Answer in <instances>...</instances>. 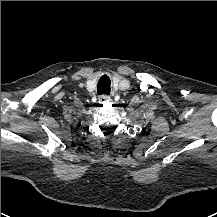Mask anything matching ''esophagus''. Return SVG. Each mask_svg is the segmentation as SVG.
Returning <instances> with one entry per match:
<instances>
[{
  "instance_id": "1",
  "label": "esophagus",
  "mask_w": 217,
  "mask_h": 217,
  "mask_svg": "<svg viewBox=\"0 0 217 217\" xmlns=\"http://www.w3.org/2000/svg\"><path fill=\"white\" fill-rule=\"evenodd\" d=\"M111 102V98L108 95H102L99 97V103L107 104Z\"/></svg>"
}]
</instances>
